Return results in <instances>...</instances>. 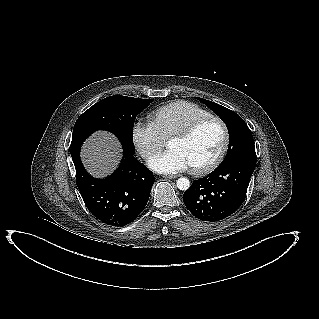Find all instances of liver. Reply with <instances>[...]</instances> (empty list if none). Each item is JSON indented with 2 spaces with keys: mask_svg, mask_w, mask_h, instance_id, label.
I'll return each mask as SVG.
<instances>
[{
  "mask_svg": "<svg viewBox=\"0 0 319 319\" xmlns=\"http://www.w3.org/2000/svg\"><path fill=\"white\" fill-rule=\"evenodd\" d=\"M121 152V145L114 135L98 131L83 144L81 158L88 172L101 178L117 167Z\"/></svg>",
  "mask_w": 319,
  "mask_h": 319,
  "instance_id": "obj_1",
  "label": "liver"
}]
</instances>
